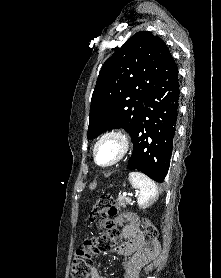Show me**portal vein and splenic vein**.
<instances>
[{
	"label": "portal vein and splenic vein",
	"mask_w": 221,
	"mask_h": 278,
	"mask_svg": "<svg viewBox=\"0 0 221 278\" xmlns=\"http://www.w3.org/2000/svg\"><path fill=\"white\" fill-rule=\"evenodd\" d=\"M123 195L126 196L127 194H126V193H123ZM128 199H129V198H128ZM129 200H130V199H129ZM130 202H131V200H130Z\"/></svg>",
	"instance_id": "portal-vein-and-splenic-vein-1"
}]
</instances>
